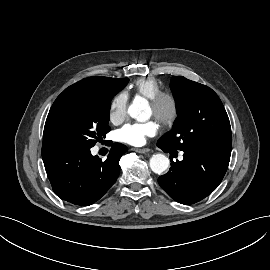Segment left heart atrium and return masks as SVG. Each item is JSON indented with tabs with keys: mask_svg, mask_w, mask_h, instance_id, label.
<instances>
[{
	"mask_svg": "<svg viewBox=\"0 0 270 270\" xmlns=\"http://www.w3.org/2000/svg\"><path fill=\"white\" fill-rule=\"evenodd\" d=\"M157 131V122L149 120L143 123L126 124L119 130V137L125 143L139 146L145 143L147 137L154 136Z\"/></svg>",
	"mask_w": 270,
	"mask_h": 270,
	"instance_id": "left-heart-atrium-1",
	"label": "left heart atrium"
}]
</instances>
